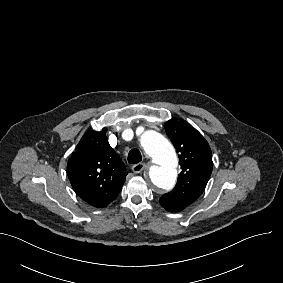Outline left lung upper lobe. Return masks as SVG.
I'll list each match as a JSON object with an SVG mask.
<instances>
[{
    "label": "left lung upper lobe",
    "instance_id": "obj_1",
    "mask_svg": "<svg viewBox=\"0 0 283 283\" xmlns=\"http://www.w3.org/2000/svg\"><path fill=\"white\" fill-rule=\"evenodd\" d=\"M165 130L179 153L182 171L175 188L162 195L160 204L169 211L179 212L204 191L212 172V153L204 137L183 119L166 122Z\"/></svg>",
    "mask_w": 283,
    "mask_h": 283
}]
</instances>
